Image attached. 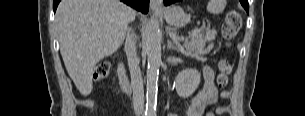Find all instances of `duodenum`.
Returning <instances> with one entry per match:
<instances>
[{"label":"duodenum","instance_id":"410a0bca","mask_svg":"<svg viewBox=\"0 0 305 116\" xmlns=\"http://www.w3.org/2000/svg\"><path fill=\"white\" fill-rule=\"evenodd\" d=\"M118 79L122 90L126 93L129 92L130 89V80L127 75L126 68L124 64H120L118 68Z\"/></svg>","mask_w":305,"mask_h":116}]
</instances>
